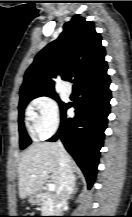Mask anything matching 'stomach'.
Wrapping results in <instances>:
<instances>
[{
  "label": "stomach",
  "mask_w": 132,
  "mask_h": 217,
  "mask_svg": "<svg viewBox=\"0 0 132 217\" xmlns=\"http://www.w3.org/2000/svg\"><path fill=\"white\" fill-rule=\"evenodd\" d=\"M41 201H42V197H41L40 193H38V192L35 194H32L29 197V203L32 205L40 204Z\"/></svg>",
  "instance_id": "stomach-1"
}]
</instances>
